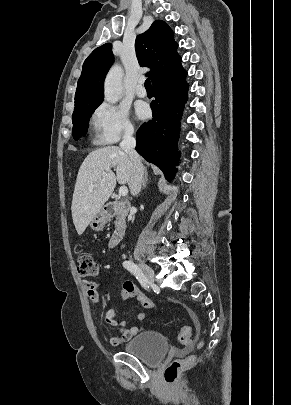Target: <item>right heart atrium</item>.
<instances>
[{"label":"right heart atrium","mask_w":291,"mask_h":405,"mask_svg":"<svg viewBox=\"0 0 291 405\" xmlns=\"http://www.w3.org/2000/svg\"><path fill=\"white\" fill-rule=\"evenodd\" d=\"M95 142L99 145H112L123 138L130 137L135 132L129 112L126 108L101 103L94 110L91 117Z\"/></svg>","instance_id":"right-heart-atrium-1"}]
</instances>
